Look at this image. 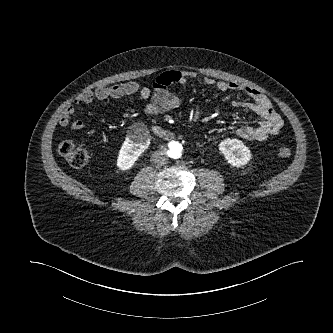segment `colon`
Segmentation results:
<instances>
[{
  "instance_id": "5ec220e1",
  "label": "colon",
  "mask_w": 333,
  "mask_h": 333,
  "mask_svg": "<svg viewBox=\"0 0 333 333\" xmlns=\"http://www.w3.org/2000/svg\"><path fill=\"white\" fill-rule=\"evenodd\" d=\"M58 151L73 168H82L92 159V153L88 149L71 141L61 142ZM291 154L292 151L288 147H280L277 151V156L282 159L289 158Z\"/></svg>"
}]
</instances>
